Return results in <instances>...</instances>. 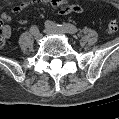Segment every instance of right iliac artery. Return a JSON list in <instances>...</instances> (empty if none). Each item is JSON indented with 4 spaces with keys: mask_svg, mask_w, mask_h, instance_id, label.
Listing matches in <instances>:
<instances>
[{
    "mask_svg": "<svg viewBox=\"0 0 119 119\" xmlns=\"http://www.w3.org/2000/svg\"><path fill=\"white\" fill-rule=\"evenodd\" d=\"M37 31H39V30H38V28H37L36 26H32V27L30 28V32H31L32 34H34V33L37 32Z\"/></svg>",
    "mask_w": 119,
    "mask_h": 119,
    "instance_id": "obj_1",
    "label": "right iliac artery"
}]
</instances>
